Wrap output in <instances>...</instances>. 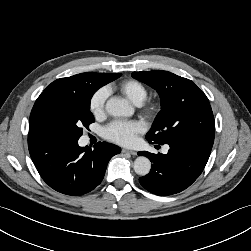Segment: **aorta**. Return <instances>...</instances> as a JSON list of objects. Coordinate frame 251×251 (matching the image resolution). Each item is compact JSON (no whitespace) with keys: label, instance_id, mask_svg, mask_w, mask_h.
<instances>
[{"label":"aorta","instance_id":"762f6f07","mask_svg":"<svg viewBox=\"0 0 251 251\" xmlns=\"http://www.w3.org/2000/svg\"><path fill=\"white\" fill-rule=\"evenodd\" d=\"M106 111L114 117H129L134 112L132 106L122 99H109L106 103ZM133 168L136 174L145 176L150 172L151 162L148 158L140 156L135 159Z\"/></svg>","mask_w":251,"mask_h":251}]
</instances>
